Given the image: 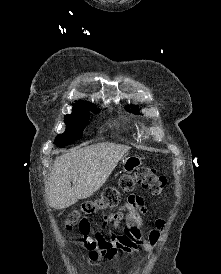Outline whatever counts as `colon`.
Returning a JSON list of instances; mask_svg holds the SVG:
<instances>
[{
  "instance_id": "1",
  "label": "colon",
  "mask_w": 221,
  "mask_h": 274,
  "mask_svg": "<svg viewBox=\"0 0 221 274\" xmlns=\"http://www.w3.org/2000/svg\"><path fill=\"white\" fill-rule=\"evenodd\" d=\"M166 184L165 178L157 174L156 170L149 167L137 168L133 173L123 175L119 181V187L107 188L102 195L95 199L84 202L77 210L72 211L66 220L67 230H73L79 225L81 219L94 214L98 210H104L116 206L123 193H128L136 185L157 195L162 192Z\"/></svg>"
}]
</instances>
